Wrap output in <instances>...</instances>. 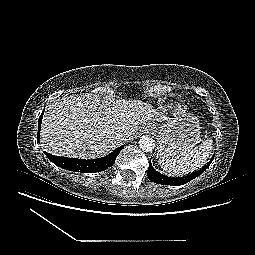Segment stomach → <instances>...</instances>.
Masks as SVG:
<instances>
[{
    "label": "stomach",
    "instance_id": "0dacf381",
    "mask_svg": "<svg viewBox=\"0 0 255 255\" xmlns=\"http://www.w3.org/2000/svg\"><path fill=\"white\" fill-rule=\"evenodd\" d=\"M154 126L160 140L159 156H177L191 150L200 141L199 120L191 113L170 118L167 122Z\"/></svg>",
    "mask_w": 255,
    "mask_h": 255
}]
</instances>
